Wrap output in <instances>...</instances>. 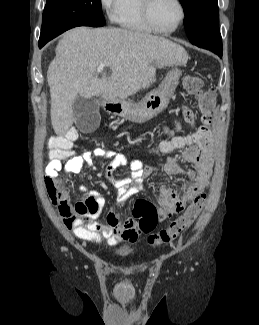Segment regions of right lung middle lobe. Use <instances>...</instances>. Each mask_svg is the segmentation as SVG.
<instances>
[{
	"instance_id": "right-lung-middle-lobe-1",
	"label": "right lung middle lobe",
	"mask_w": 259,
	"mask_h": 325,
	"mask_svg": "<svg viewBox=\"0 0 259 325\" xmlns=\"http://www.w3.org/2000/svg\"><path fill=\"white\" fill-rule=\"evenodd\" d=\"M104 24L101 0H47L39 43H47L77 26L101 27Z\"/></svg>"
}]
</instances>
